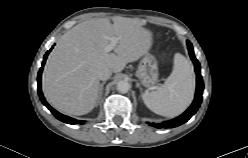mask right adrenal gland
<instances>
[{
  "label": "right adrenal gland",
  "instance_id": "right-adrenal-gland-1",
  "mask_svg": "<svg viewBox=\"0 0 248 158\" xmlns=\"http://www.w3.org/2000/svg\"><path fill=\"white\" fill-rule=\"evenodd\" d=\"M105 83H106V82L103 81V82L100 84L98 102L100 101V99H101V97H102L103 87H104V84H105Z\"/></svg>",
  "mask_w": 248,
  "mask_h": 158
}]
</instances>
